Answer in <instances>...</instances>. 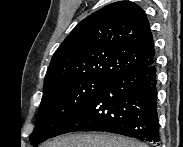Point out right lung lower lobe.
I'll return each mask as SVG.
<instances>
[{
	"label": "right lung lower lobe",
	"mask_w": 183,
	"mask_h": 147,
	"mask_svg": "<svg viewBox=\"0 0 183 147\" xmlns=\"http://www.w3.org/2000/svg\"><path fill=\"white\" fill-rule=\"evenodd\" d=\"M75 131L111 132L160 141L155 64L111 79L69 116L53 137Z\"/></svg>",
	"instance_id": "1"
}]
</instances>
